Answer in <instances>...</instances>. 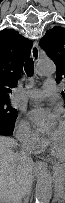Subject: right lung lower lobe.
<instances>
[{
  "label": "right lung lower lobe",
  "instance_id": "right-lung-lower-lobe-1",
  "mask_svg": "<svg viewBox=\"0 0 65 203\" xmlns=\"http://www.w3.org/2000/svg\"><path fill=\"white\" fill-rule=\"evenodd\" d=\"M13 128H7V127H4L3 125H0V135H6V136H9L13 133Z\"/></svg>",
  "mask_w": 65,
  "mask_h": 203
}]
</instances>
